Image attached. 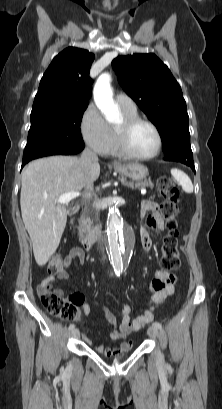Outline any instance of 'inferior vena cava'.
<instances>
[{"label":"inferior vena cava","mask_w":222,"mask_h":409,"mask_svg":"<svg viewBox=\"0 0 222 409\" xmlns=\"http://www.w3.org/2000/svg\"><path fill=\"white\" fill-rule=\"evenodd\" d=\"M80 162L84 168H89L92 164H97L98 163V156L90 149V148H85L84 151L82 152ZM93 188V182H90L88 186L86 187V190H92ZM96 220L98 221L99 219V210L96 208ZM98 242L100 243V248L101 251L104 253V249L101 246L102 244V239L99 237ZM103 259H105V256L103 255Z\"/></svg>","instance_id":"obj_1"}]
</instances>
